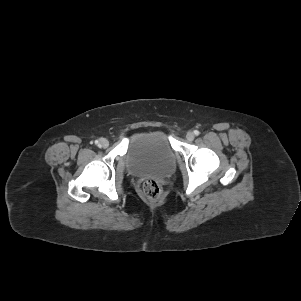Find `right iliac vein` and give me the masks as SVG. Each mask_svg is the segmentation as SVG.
Here are the masks:
<instances>
[{
    "mask_svg": "<svg viewBox=\"0 0 301 301\" xmlns=\"http://www.w3.org/2000/svg\"><path fill=\"white\" fill-rule=\"evenodd\" d=\"M109 145V141L106 138L99 139V146L102 148H107Z\"/></svg>",
    "mask_w": 301,
    "mask_h": 301,
    "instance_id": "obj_1",
    "label": "right iliac vein"
}]
</instances>
